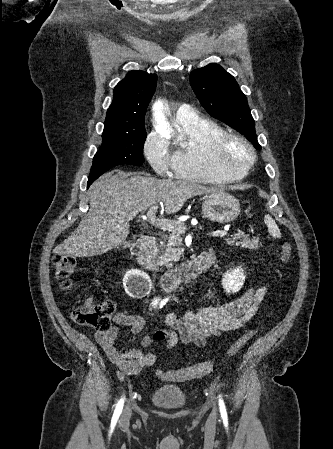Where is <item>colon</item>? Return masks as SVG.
<instances>
[{"mask_svg": "<svg viewBox=\"0 0 333 449\" xmlns=\"http://www.w3.org/2000/svg\"><path fill=\"white\" fill-rule=\"evenodd\" d=\"M278 252L281 260L287 263L292 258L291 246L282 242L278 246ZM52 265L55 270L56 277L61 280V286L65 290L73 287L71 276L75 271L76 261L73 257L64 254H56L52 258ZM115 305L110 300L95 302L91 299L77 306L72 312V318L78 324L90 326L98 331H106L110 328L111 317L114 313ZM251 337V332L242 335L228 350L226 357H234L237 355ZM214 368L211 362H204L194 366L174 369V370H157L156 374L169 381H187L200 378L209 374Z\"/></svg>", "mask_w": 333, "mask_h": 449, "instance_id": "colon-1", "label": "colon"}]
</instances>
